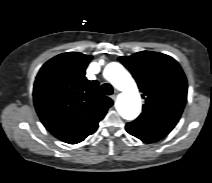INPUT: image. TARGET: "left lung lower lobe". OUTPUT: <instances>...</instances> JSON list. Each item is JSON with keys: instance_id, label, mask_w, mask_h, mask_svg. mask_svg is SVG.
I'll return each instance as SVG.
<instances>
[{"instance_id": "left-lung-lower-lobe-1", "label": "left lung lower lobe", "mask_w": 212, "mask_h": 183, "mask_svg": "<svg viewBox=\"0 0 212 183\" xmlns=\"http://www.w3.org/2000/svg\"><path fill=\"white\" fill-rule=\"evenodd\" d=\"M126 130L129 134L133 135L134 137L140 139L145 143H153L166 136L165 134L162 133L152 132L131 125H126Z\"/></svg>"}]
</instances>
